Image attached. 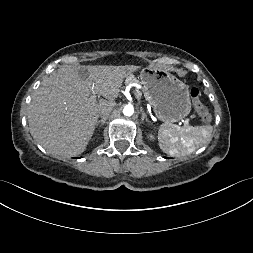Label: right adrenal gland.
Masks as SVG:
<instances>
[{"label": "right adrenal gland", "instance_id": "1", "mask_svg": "<svg viewBox=\"0 0 253 253\" xmlns=\"http://www.w3.org/2000/svg\"><path fill=\"white\" fill-rule=\"evenodd\" d=\"M108 116L103 117L102 119L98 120L97 126L101 123V126L105 124L106 120H107Z\"/></svg>", "mask_w": 253, "mask_h": 253}]
</instances>
